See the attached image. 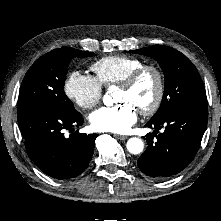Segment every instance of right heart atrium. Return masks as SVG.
<instances>
[{
    "label": "right heart atrium",
    "instance_id": "1",
    "mask_svg": "<svg viewBox=\"0 0 221 221\" xmlns=\"http://www.w3.org/2000/svg\"><path fill=\"white\" fill-rule=\"evenodd\" d=\"M64 91L69 99L85 110L95 107L103 95V87L96 78L80 71L67 76Z\"/></svg>",
    "mask_w": 221,
    "mask_h": 221
}]
</instances>
